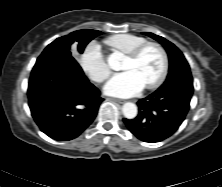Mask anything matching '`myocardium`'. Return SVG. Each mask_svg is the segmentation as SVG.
Returning a JSON list of instances; mask_svg holds the SVG:
<instances>
[{"mask_svg": "<svg viewBox=\"0 0 222 187\" xmlns=\"http://www.w3.org/2000/svg\"><path fill=\"white\" fill-rule=\"evenodd\" d=\"M149 47H154L160 52V54L162 56V68H161V71H160V74L158 75V77L153 82L144 86V88L148 89V90L155 89V88L159 87L165 81V79L168 75L169 66H170V59H169V54H168L167 50L165 49V47L162 44H160L158 42L148 41V42L141 44L140 46L135 48L132 52H130L129 54L126 55V58H128L132 61H136L140 58L142 53Z\"/></svg>", "mask_w": 222, "mask_h": 187, "instance_id": "f54148a6", "label": "myocardium"}]
</instances>
